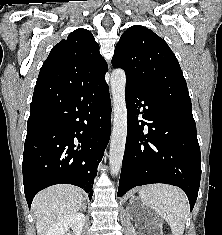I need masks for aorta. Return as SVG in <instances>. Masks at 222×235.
<instances>
[{"label": "aorta", "instance_id": "aorta-1", "mask_svg": "<svg viewBox=\"0 0 222 235\" xmlns=\"http://www.w3.org/2000/svg\"><path fill=\"white\" fill-rule=\"evenodd\" d=\"M114 123L110 142L109 165L111 174L121 170L127 137V108L125 101L126 75L123 69H115L111 74Z\"/></svg>", "mask_w": 222, "mask_h": 235}]
</instances>
